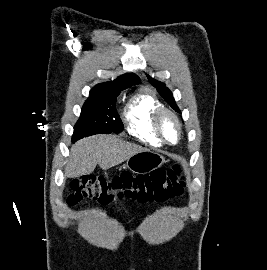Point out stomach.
<instances>
[{
	"instance_id": "stomach-1",
	"label": "stomach",
	"mask_w": 267,
	"mask_h": 270,
	"mask_svg": "<svg viewBox=\"0 0 267 270\" xmlns=\"http://www.w3.org/2000/svg\"><path fill=\"white\" fill-rule=\"evenodd\" d=\"M164 162L161 154L145 150L128 158L126 167L133 173H148L158 169Z\"/></svg>"
}]
</instances>
